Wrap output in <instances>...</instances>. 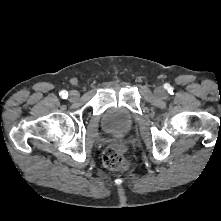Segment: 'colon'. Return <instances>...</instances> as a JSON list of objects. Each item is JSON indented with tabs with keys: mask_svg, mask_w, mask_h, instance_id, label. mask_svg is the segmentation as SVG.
Returning a JSON list of instances; mask_svg holds the SVG:
<instances>
[{
	"mask_svg": "<svg viewBox=\"0 0 221 221\" xmlns=\"http://www.w3.org/2000/svg\"><path fill=\"white\" fill-rule=\"evenodd\" d=\"M125 146L120 143L109 145L103 155L104 165L112 170H127L130 160L125 155Z\"/></svg>",
	"mask_w": 221,
	"mask_h": 221,
	"instance_id": "5ec220e1",
	"label": "colon"
}]
</instances>
